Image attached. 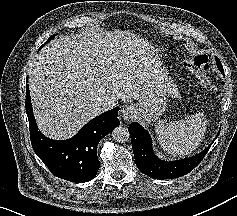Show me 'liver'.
<instances>
[{
  "label": "liver",
  "mask_w": 237,
  "mask_h": 216,
  "mask_svg": "<svg viewBox=\"0 0 237 216\" xmlns=\"http://www.w3.org/2000/svg\"><path fill=\"white\" fill-rule=\"evenodd\" d=\"M162 78L142 65H121L114 36L97 32L49 43L30 69L29 87L41 130L65 138L103 111L101 97L144 101Z\"/></svg>",
  "instance_id": "obj_1"
}]
</instances>
